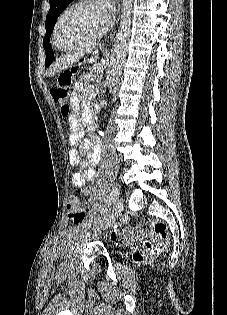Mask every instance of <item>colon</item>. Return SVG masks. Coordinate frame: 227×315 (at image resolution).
Instances as JSON below:
<instances>
[{"instance_id":"obj_1","label":"colon","mask_w":227,"mask_h":315,"mask_svg":"<svg viewBox=\"0 0 227 315\" xmlns=\"http://www.w3.org/2000/svg\"><path fill=\"white\" fill-rule=\"evenodd\" d=\"M77 72V67H71L61 72L56 83L51 89L54 100L62 105V112L66 116L70 112L68 98L70 95V85L72 76ZM67 209L71 220L79 224L85 219V210L76 192H72L67 199ZM136 239L142 240V249L134 254L137 263H144L154 258L158 253L165 249L169 243L170 234L167 224L162 220H153L150 226V233L136 227L124 232Z\"/></svg>"}]
</instances>
